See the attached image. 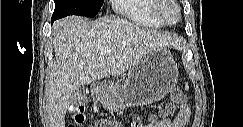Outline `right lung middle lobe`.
<instances>
[{"instance_id":"1","label":"right lung middle lobe","mask_w":243,"mask_h":127,"mask_svg":"<svg viewBox=\"0 0 243 127\" xmlns=\"http://www.w3.org/2000/svg\"><path fill=\"white\" fill-rule=\"evenodd\" d=\"M104 0H55L52 18L59 19L68 15L95 17Z\"/></svg>"}]
</instances>
